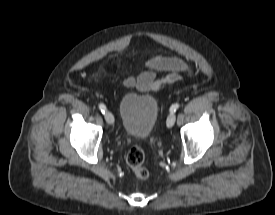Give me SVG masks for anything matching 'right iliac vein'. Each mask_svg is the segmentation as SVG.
<instances>
[{
	"label": "right iliac vein",
	"instance_id": "63e3f726",
	"mask_svg": "<svg viewBox=\"0 0 275 215\" xmlns=\"http://www.w3.org/2000/svg\"><path fill=\"white\" fill-rule=\"evenodd\" d=\"M104 117L108 124L112 125L114 123V116L111 112L106 111Z\"/></svg>",
	"mask_w": 275,
	"mask_h": 215
}]
</instances>
